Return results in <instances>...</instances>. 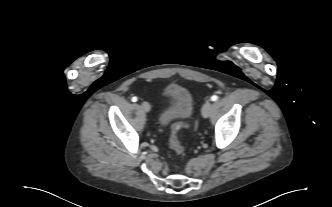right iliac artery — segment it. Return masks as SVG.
<instances>
[{
    "mask_svg": "<svg viewBox=\"0 0 332 207\" xmlns=\"http://www.w3.org/2000/svg\"><path fill=\"white\" fill-rule=\"evenodd\" d=\"M132 102H136L137 101V97H132Z\"/></svg>",
    "mask_w": 332,
    "mask_h": 207,
    "instance_id": "right-iliac-artery-1",
    "label": "right iliac artery"
}]
</instances>
